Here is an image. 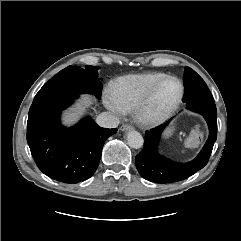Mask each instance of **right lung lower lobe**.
Masks as SVG:
<instances>
[{"instance_id": "98d812e1", "label": "right lung lower lobe", "mask_w": 241, "mask_h": 241, "mask_svg": "<svg viewBox=\"0 0 241 241\" xmlns=\"http://www.w3.org/2000/svg\"><path fill=\"white\" fill-rule=\"evenodd\" d=\"M77 97L32 104L27 121V142L36 165L48 177L69 184L95 173L104 142L117 132L98 126L90 117L72 128L63 127L60 114Z\"/></svg>"}]
</instances>
